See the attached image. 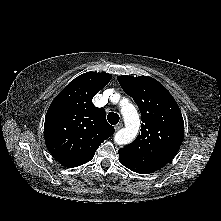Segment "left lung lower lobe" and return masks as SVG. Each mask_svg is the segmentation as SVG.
Wrapping results in <instances>:
<instances>
[{
	"label": "left lung lower lobe",
	"instance_id": "obj_1",
	"mask_svg": "<svg viewBox=\"0 0 221 221\" xmlns=\"http://www.w3.org/2000/svg\"><path fill=\"white\" fill-rule=\"evenodd\" d=\"M119 158H120L121 163L125 167L129 168L130 170H132L134 172H137V173H140V174H149V173L154 172L153 170L138 166L137 164H134L133 162H131V161L125 159V158H122V157H119Z\"/></svg>",
	"mask_w": 221,
	"mask_h": 221
}]
</instances>
